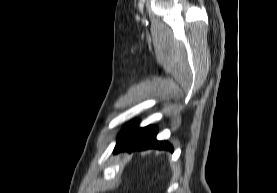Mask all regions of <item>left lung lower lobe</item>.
I'll list each match as a JSON object with an SVG mask.
<instances>
[{
	"label": "left lung lower lobe",
	"instance_id": "1",
	"mask_svg": "<svg viewBox=\"0 0 277 193\" xmlns=\"http://www.w3.org/2000/svg\"><path fill=\"white\" fill-rule=\"evenodd\" d=\"M157 129L154 126L138 127V122L129 123L118 135L114 153L119 151L132 152L149 148L173 151L168 142L156 140Z\"/></svg>",
	"mask_w": 277,
	"mask_h": 193
}]
</instances>
